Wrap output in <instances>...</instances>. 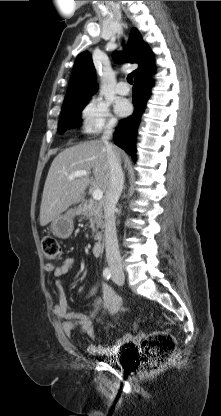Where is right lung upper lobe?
<instances>
[{
	"label": "right lung upper lobe",
	"mask_w": 221,
	"mask_h": 416,
	"mask_svg": "<svg viewBox=\"0 0 221 416\" xmlns=\"http://www.w3.org/2000/svg\"><path fill=\"white\" fill-rule=\"evenodd\" d=\"M113 58L118 62L129 60L132 63H138L139 68L134 71L135 78L154 70L153 53L143 42L137 29H134L130 35L125 54L115 51ZM95 76L91 54L88 51L80 53L73 67L64 102L92 96L97 91Z\"/></svg>",
	"instance_id": "obj_1"
}]
</instances>
